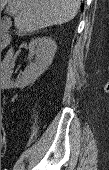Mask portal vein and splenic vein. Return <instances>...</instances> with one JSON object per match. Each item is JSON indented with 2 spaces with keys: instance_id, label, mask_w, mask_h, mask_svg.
<instances>
[{
  "instance_id": "1",
  "label": "portal vein and splenic vein",
  "mask_w": 109,
  "mask_h": 170,
  "mask_svg": "<svg viewBox=\"0 0 109 170\" xmlns=\"http://www.w3.org/2000/svg\"><path fill=\"white\" fill-rule=\"evenodd\" d=\"M6 11L11 15L17 14V10L13 8L12 6H10Z\"/></svg>"
}]
</instances>
